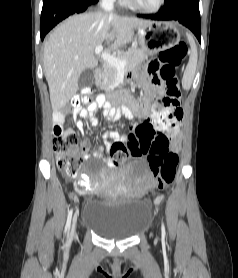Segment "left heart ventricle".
Instances as JSON below:
<instances>
[{
    "label": "left heart ventricle",
    "instance_id": "left-heart-ventricle-1",
    "mask_svg": "<svg viewBox=\"0 0 238 278\" xmlns=\"http://www.w3.org/2000/svg\"><path fill=\"white\" fill-rule=\"evenodd\" d=\"M140 5L144 7H154L158 0H136Z\"/></svg>",
    "mask_w": 238,
    "mask_h": 278
}]
</instances>
